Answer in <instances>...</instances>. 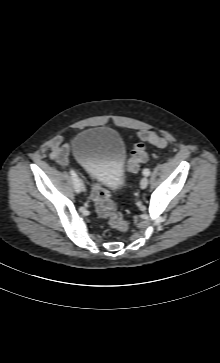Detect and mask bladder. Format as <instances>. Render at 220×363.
Segmentation results:
<instances>
[{
  "label": "bladder",
  "instance_id": "bladder-1",
  "mask_svg": "<svg viewBox=\"0 0 220 363\" xmlns=\"http://www.w3.org/2000/svg\"><path fill=\"white\" fill-rule=\"evenodd\" d=\"M72 152L97 182L113 190L123 186L126 147L117 131L102 126L84 129L73 138Z\"/></svg>",
  "mask_w": 220,
  "mask_h": 363
}]
</instances>
